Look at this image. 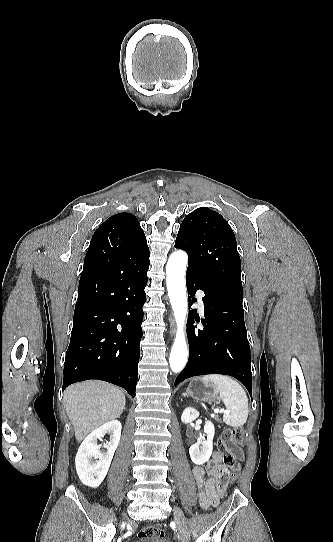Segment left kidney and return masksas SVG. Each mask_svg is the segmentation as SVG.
<instances>
[{
	"label": "left kidney",
	"instance_id": "obj_1",
	"mask_svg": "<svg viewBox=\"0 0 333 542\" xmlns=\"http://www.w3.org/2000/svg\"><path fill=\"white\" fill-rule=\"evenodd\" d=\"M199 416V412L194 410V408H185L181 416V422H183V424H190V422L197 420ZM204 432L207 434V440H205V442H197V444H193L189 450L190 458L193 464H196V466H201V464L208 462L212 454L215 428L214 424L209 422V420L204 426Z\"/></svg>",
	"mask_w": 333,
	"mask_h": 542
}]
</instances>
